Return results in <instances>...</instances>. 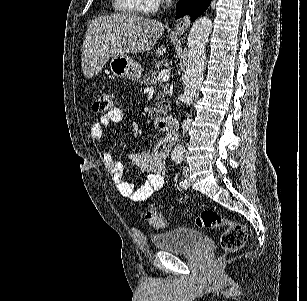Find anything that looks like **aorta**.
Returning <instances> with one entry per match:
<instances>
[{
	"mask_svg": "<svg viewBox=\"0 0 307 301\" xmlns=\"http://www.w3.org/2000/svg\"><path fill=\"white\" fill-rule=\"evenodd\" d=\"M211 30L212 20L209 16H201L191 26L182 98L185 106L194 102L201 88L206 66V42ZM175 151H181V148H175Z\"/></svg>",
	"mask_w": 307,
	"mask_h": 301,
	"instance_id": "obj_1",
	"label": "aorta"
}]
</instances>
